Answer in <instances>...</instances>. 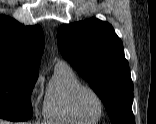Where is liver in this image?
Returning <instances> with one entry per match:
<instances>
[{"label":"liver","instance_id":"1","mask_svg":"<svg viewBox=\"0 0 156 124\" xmlns=\"http://www.w3.org/2000/svg\"><path fill=\"white\" fill-rule=\"evenodd\" d=\"M0 124H7V123L3 120H0Z\"/></svg>","mask_w":156,"mask_h":124}]
</instances>
